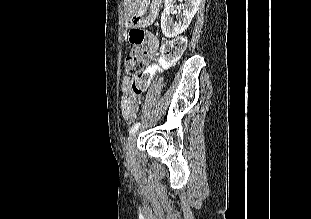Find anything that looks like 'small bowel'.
Returning a JSON list of instances; mask_svg holds the SVG:
<instances>
[{
  "instance_id": "small-bowel-1",
  "label": "small bowel",
  "mask_w": 311,
  "mask_h": 219,
  "mask_svg": "<svg viewBox=\"0 0 311 219\" xmlns=\"http://www.w3.org/2000/svg\"><path fill=\"white\" fill-rule=\"evenodd\" d=\"M151 44L150 57L154 58L156 55L157 41L152 38ZM122 93L120 103L122 115L126 120H132L136 117L139 110V96L130 91V79L128 77H125L122 81Z\"/></svg>"
}]
</instances>
